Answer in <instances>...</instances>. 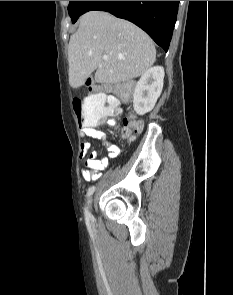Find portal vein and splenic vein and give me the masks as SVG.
I'll list each match as a JSON object with an SVG mask.
<instances>
[{"label": "portal vein and splenic vein", "instance_id": "obj_1", "mask_svg": "<svg viewBox=\"0 0 233 295\" xmlns=\"http://www.w3.org/2000/svg\"><path fill=\"white\" fill-rule=\"evenodd\" d=\"M108 58H109V56L103 55V60H107Z\"/></svg>", "mask_w": 233, "mask_h": 295}]
</instances>
